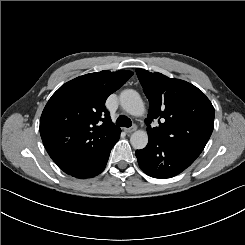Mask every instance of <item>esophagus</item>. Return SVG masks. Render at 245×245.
I'll return each mask as SVG.
<instances>
[{
	"instance_id": "1",
	"label": "esophagus",
	"mask_w": 245,
	"mask_h": 245,
	"mask_svg": "<svg viewBox=\"0 0 245 245\" xmlns=\"http://www.w3.org/2000/svg\"><path fill=\"white\" fill-rule=\"evenodd\" d=\"M136 130H137V126L136 125H133L130 128H124V131L127 132V133H131V132H134Z\"/></svg>"
}]
</instances>
